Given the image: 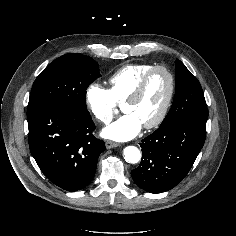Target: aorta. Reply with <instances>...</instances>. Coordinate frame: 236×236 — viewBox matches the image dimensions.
<instances>
[{
  "instance_id": "aorta-1",
  "label": "aorta",
  "mask_w": 236,
  "mask_h": 236,
  "mask_svg": "<svg viewBox=\"0 0 236 236\" xmlns=\"http://www.w3.org/2000/svg\"><path fill=\"white\" fill-rule=\"evenodd\" d=\"M124 159L128 163H138L141 159V153L135 146H127L124 149Z\"/></svg>"
}]
</instances>
